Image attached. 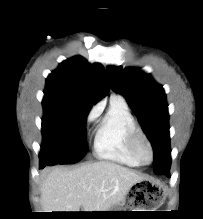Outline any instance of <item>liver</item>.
I'll list each match as a JSON object with an SVG mask.
<instances>
[{"mask_svg":"<svg viewBox=\"0 0 203 219\" xmlns=\"http://www.w3.org/2000/svg\"><path fill=\"white\" fill-rule=\"evenodd\" d=\"M41 204L45 212L108 211L123 202L133 185L146 177L111 161L74 169L43 171Z\"/></svg>","mask_w":203,"mask_h":219,"instance_id":"6515ba94","label":"liver"}]
</instances>
